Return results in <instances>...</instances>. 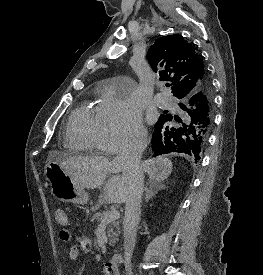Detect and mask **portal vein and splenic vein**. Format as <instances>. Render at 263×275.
Returning a JSON list of instances; mask_svg holds the SVG:
<instances>
[{"label":"portal vein and splenic vein","mask_w":263,"mask_h":275,"mask_svg":"<svg viewBox=\"0 0 263 275\" xmlns=\"http://www.w3.org/2000/svg\"><path fill=\"white\" fill-rule=\"evenodd\" d=\"M120 217V213L118 210H111L108 213L105 214V217L103 218V220L101 221V223H110L112 221H115L117 219H119Z\"/></svg>","instance_id":"1"}]
</instances>
